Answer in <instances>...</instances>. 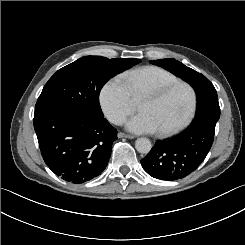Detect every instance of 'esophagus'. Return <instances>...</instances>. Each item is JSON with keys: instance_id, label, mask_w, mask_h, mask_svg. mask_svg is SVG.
<instances>
[{"instance_id": "esophagus-1", "label": "esophagus", "mask_w": 245, "mask_h": 245, "mask_svg": "<svg viewBox=\"0 0 245 245\" xmlns=\"http://www.w3.org/2000/svg\"><path fill=\"white\" fill-rule=\"evenodd\" d=\"M118 137H119V138H128V139H133V138H135L133 135L125 134V133H122V132H119V133H118Z\"/></svg>"}]
</instances>
